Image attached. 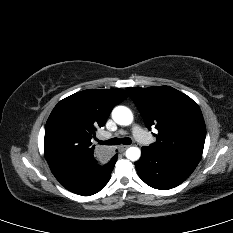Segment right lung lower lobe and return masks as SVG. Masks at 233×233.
I'll list each match as a JSON object with an SVG mask.
<instances>
[{"instance_id": "1", "label": "right lung lower lobe", "mask_w": 233, "mask_h": 233, "mask_svg": "<svg viewBox=\"0 0 233 233\" xmlns=\"http://www.w3.org/2000/svg\"><path fill=\"white\" fill-rule=\"evenodd\" d=\"M117 155L110 160L105 158L99 160L94 157L51 164L50 169L66 189L88 196L99 192L108 183Z\"/></svg>"}]
</instances>
